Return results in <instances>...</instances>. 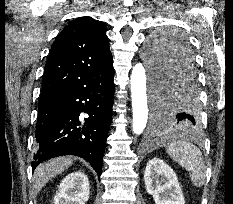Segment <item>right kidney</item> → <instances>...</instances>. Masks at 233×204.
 Segmentation results:
<instances>
[{"instance_id":"ca27d5eb","label":"right kidney","mask_w":233,"mask_h":204,"mask_svg":"<svg viewBox=\"0 0 233 204\" xmlns=\"http://www.w3.org/2000/svg\"><path fill=\"white\" fill-rule=\"evenodd\" d=\"M89 195L88 177L81 171L73 172L61 181L54 204H85Z\"/></svg>"}]
</instances>
